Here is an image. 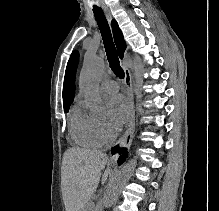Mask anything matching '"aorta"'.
I'll return each mask as SVG.
<instances>
[{
    "instance_id": "obj_1",
    "label": "aorta",
    "mask_w": 219,
    "mask_h": 211,
    "mask_svg": "<svg viewBox=\"0 0 219 211\" xmlns=\"http://www.w3.org/2000/svg\"><path fill=\"white\" fill-rule=\"evenodd\" d=\"M105 64L99 57H87L83 62V67L79 76V87L87 99V105L91 113L97 118H106L108 112L105 102L98 91V81L104 71ZM145 68L141 58L134 57V75H135V94L140 102L142 97V86L144 83ZM141 107H138L140 112ZM136 157L131 159L121 171L114 177L108 185L105 194L100 201V210L111 207L118 199L122 189L132 177L136 168Z\"/></svg>"
}]
</instances>
